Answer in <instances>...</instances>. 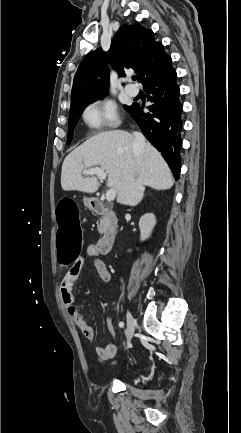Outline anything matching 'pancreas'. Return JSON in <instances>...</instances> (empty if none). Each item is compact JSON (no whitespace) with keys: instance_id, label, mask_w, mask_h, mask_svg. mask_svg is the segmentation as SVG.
<instances>
[{"instance_id":"pancreas-1","label":"pancreas","mask_w":241,"mask_h":433,"mask_svg":"<svg viewBox=\"0 0 241 433\" xmlns=\"http://www.w3.org/2000/svg\"><path fill=\"white\" fill-rule=\"evenodd\" d=\"M104 231H105L104 221H101V222L99 223V225H98V232H99L100 234H102V233H104Z\"/></svg>"}]
</instances>
